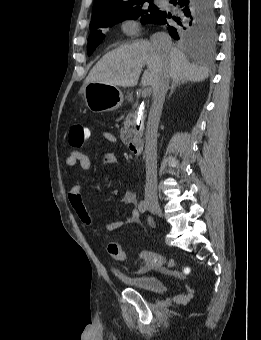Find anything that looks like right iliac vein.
I'll use <instances>...</instances> for the list:
<instances>
[{"mask_svg": "<svg viewBox=\"0 0 261 340\" xmlns=\"http://www.w3.org/2000/svg\"><path fill=\"white\" fill-rule=\"evenodd\" d=\"M146 202H147V206H148V208L151 212L159 215L160 217L162 216V211H161L159 205L155 201L149 199Z\"/></svg>", "mask_w": 261, "mask_h": 340, "instance_id": "63e3f726", "label": "right iliac vein"}]
</instances>
